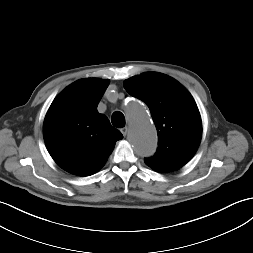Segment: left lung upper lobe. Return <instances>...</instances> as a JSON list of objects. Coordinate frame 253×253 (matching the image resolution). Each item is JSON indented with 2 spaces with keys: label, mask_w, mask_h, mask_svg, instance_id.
Segmentation results:
<instances>
[{
  "label": "left lung upper lobe",
  "mask_w": 253,
  "mask_h": 253,
  "mask_svg": "<svg viewBox=\"0 0 253 253\" xmlns=\"http://www.w3.org/2000/svg\"><path fill=\"white\" fill-rule=\"evenodd\" d=\"M126 91L150 109L158 131V148L145 163L158 172H171L184 166L196 153L202 135L197 105L175 79L146 72L124 81Z\"/></svg>",
  "instance_id": "5c2ea615"
}]
</instances>
